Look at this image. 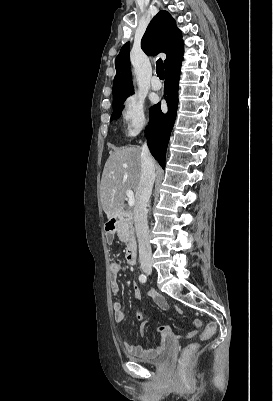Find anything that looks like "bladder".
Here are the masks:
<instances>
[{
  "label": "bladder",
  "mask_w": 273,
  "mask_h": 401,
  "mask_svg": "<svg viewBox=\"0 0 273 401\" xmlns=\"http://www.w3.org/2000/svg\"><path fill=\"white\" fill-rule=\"evenodd\" d=\"M172 353L170 349H167L164 351L157 359L147 361V360H141L139 358L131 356L130 358L136 362H139L141 364L149 365V366H154V367H161L166 364H168L171 360Z\"/></svg>",
  "instance_id": "31cf9c89"
}]
</instances>
